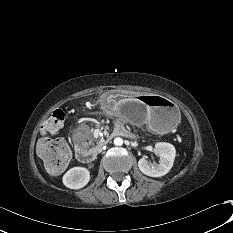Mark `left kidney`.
<instances>
[{"label": "left kidney", "instance_id": "left-kidney-1", "mask_svg": "<svg viewBox=\"0 0 233 233\" xmlns=\"http://www.w3.org/2000/svg\"><path fill=\"white\" fill-rule=\"evenodd\" d=\"M155 149L160 156L159 164L150 163L145 158L138 161L140 171L150 177H161L166 175L173 166L176 155L175 147L166 142H158L155 144Z\"/></svg>", "mask_w": 233, "mask_h": 233}]
</instances>
